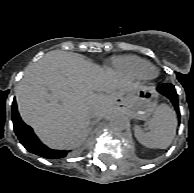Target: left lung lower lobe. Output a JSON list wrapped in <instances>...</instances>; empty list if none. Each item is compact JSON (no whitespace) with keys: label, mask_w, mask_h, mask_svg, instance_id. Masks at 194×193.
I'll list each match as a JSON object with an SVG mask.
<instances>
[{"label":"left lung lower lobe","mask_w":194,"mask_h":193,"mask_svg":"<svg viewBox=\"0 0 194 193\" xmlns=\"http://www.w3.org/2000/svg\"><path fill=\"white\" fill-rule=\"evenodd\" d=\"M157 90L163 94L164 96H166L167 98L170 99V101L172 102V104L175 107L176 112L179 115V106H178V100H177V93L176 90L174 88V86L170 83H164L161 84L157 87Z\"/></svg>","instance_id":"1"}]
</instances>
